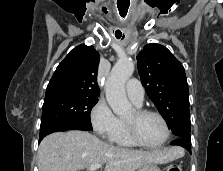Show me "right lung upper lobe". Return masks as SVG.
Here are the masks:
<instances>
[{
	"instance_id": "right-lung-upper-lobe-1",
	"label": "right lung upper lobe",
	"mask_w": 223,
	"mask_h": 171,
	"mask_svg": "<svg viewBox=\"0 0 223 171\" xmlns=\"http://www.w3.org/2000/svg\"><path fill=\"white\" fill-rule=\"evenodd\" d=\"M99 53L93 46L75 47L58 65L46 89V98L78 94L99 96L97 69Z\"/></svg>"
}]
</instances>
